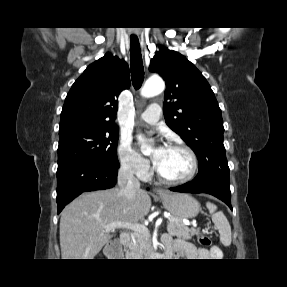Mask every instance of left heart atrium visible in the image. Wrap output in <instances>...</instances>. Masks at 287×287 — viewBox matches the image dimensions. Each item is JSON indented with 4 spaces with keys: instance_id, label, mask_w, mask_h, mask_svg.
Returning a JSON list of instances; mask_svg holds the SVG:
<instances>
[{
    "instance_id": "left-heart-atrium-1",
    "label": "left heart atrium",
    "mask_w": 287,
    "mask_h": 287,
    "mask_svg": "<svg viewBox=\"0 0 287 287\" xmlns=\"http://www.w3.org/2000/svg\"><path fill=\"white\" fill-rule=\"evenodd\" d=\"M164 149H165L164 146H159V147L157 148V150H156V151H157V155L154 157V160H155V161H156L157 157L159 156V154L162 153Z\"/></svg>"
}]
</instances>
